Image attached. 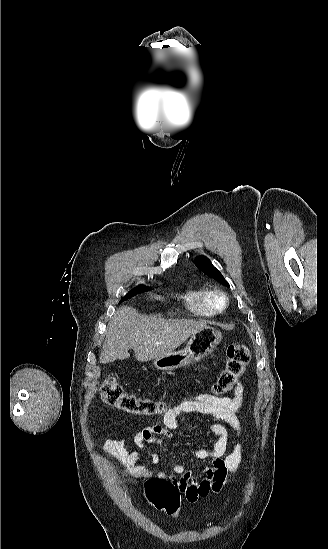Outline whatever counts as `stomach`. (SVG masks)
<instances>
[{
  "instance_id": "1",
  "label": "stomach",
  "mask_w": 328,
  "mask_h": 549,
  "mask_svg": "<svg viewBox=\"0 0 328 549\" xmlns=\"http://www.w3.org/2000/svg\"><path fill=\"white\" fill-rule=\"evenodd\" d=\"M221 339L220 331H217L214 327H203L197 333H193L185 349L158 357V359H155L154 365L159 371H174L179 367H187L191 363H198V361L213 353Z\"/></svg>"
}]
</instances>
